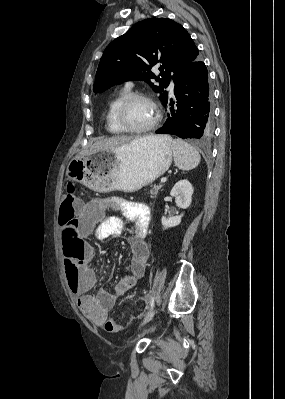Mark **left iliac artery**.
I'll return each mask as SVG.
<instances>
[{
	"mask_svg": "<svg viewBox=\"0 0 285 399\" xmlns=\"http://www.w3.org/2000/svg\"><path fill=\"white\" fill-rule=\"evenodd\" d=\"M154 307V299L152 298L150 305H149V310L151 311Z\"/></svg>",
	"mask_w": 285,
	"mask_h": 399,
	"instance_id": "1",
	"label": "left iliac artery"
}]
</instances>
